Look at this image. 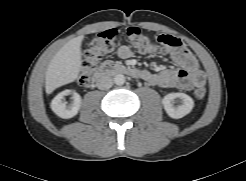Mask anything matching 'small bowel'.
Returning <instances> with one entry per match:
<instances>
[{"instance_id": "obj_1", "label": "small bowel", "mask_w": 246, "mask_h": 181, "mask_svg": "<svg viewBox=\"0 0 246 181\" xmlns=\"http://www.w3.org/2000/svg\"><path fill=\"white\" fill-rule=\"evenodd\" d=\"M167 48V53L177 68H163L159 72L141 70L143 73L141 79L161 88L190 90L195 86H204L205 75L199 69L195 56L184 46L182 41L179 48ZM117 53L122 59H129L133 55L132 49L127 45L120 46Z\"/></svg>"}]
</instances>
